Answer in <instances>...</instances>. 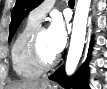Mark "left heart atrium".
Listing matches in <instances>:
<instances>
[{
	"label": "left heart atrium",
	"mask_w": 107,
	"mask_h": 89,
	"mask_svg": "<svg viewBox=\"0 0 107 89\" xmlns=\"http://www.w3.org/2000/svg\"><path fill=\"white\" fill-rule=\"evenodd\" d=\"M47 31L52 49L55 53H60L64 49L67 40L65 23L62 17L55 16Z\"/></svg>",
	"instance_id": "39dd6f15"
}]
</instances>
